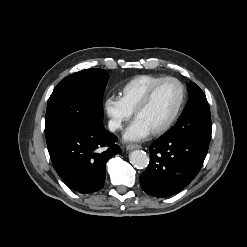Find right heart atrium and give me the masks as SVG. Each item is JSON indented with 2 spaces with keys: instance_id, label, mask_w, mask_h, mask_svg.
Returning a JSON list of instances; mask_svg holds the SVG:
<instances>
[{
  "instance_id": "1",
  "label": "right heart atrium",
  "mask_w": 247,
  "mask_h": 247,
  "mask_svg": "<svg viewBox=\"0 0 247 247\" xmlns=\"http://www.w3.org/2000/svg\"><path fill=\"white\" fill-rule=\"evenodd\" d=\"M103 108L108 118V126L112 131L121 129L132 115V112L126 108L121 98L114 95L104 99Z\"/></svg>"
}]
</instances>
